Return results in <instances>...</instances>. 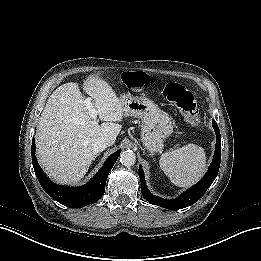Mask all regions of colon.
<instances>
[{"instance_id":"5ec220e1","label":"colon","mask_w":261,"mask_h":261,"mask_svg":"<svg viewBox=\"0 0 261 261\" xmlns=\"http://www.w3.org/2000/svg\"><path fill=\"white\" fill-rule=\"evenodd\" d=\"M126 81L135 90L147 89L151 84V78L145 72L129 73ZM157 91L167 101L175 105L190 122L194 124L201 123L194 95L185 86L178 82H169L162 89H157Z\"/></svg>"}]
</instances>
